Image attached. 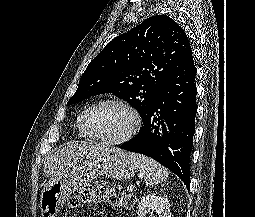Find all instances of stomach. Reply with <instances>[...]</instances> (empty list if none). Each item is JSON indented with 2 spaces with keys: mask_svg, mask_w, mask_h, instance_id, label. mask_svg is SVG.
<instances>
[{
  "mask_svg": "<svg viewBox=\"0 0 255 217\" xmlns=\"http://www.w3.org/2000/svg\"><path fill=\"white\" fill-rule=\"evenodd\" d=\"M136 167L127 152L108 148L96 158L77 162L51 176L41 191L42 217H56L67 198L99 175L117 180L130 179Z\"/></svg>",
  "mask_w": 255,
  "mask_h": 217,
  "instance_id": "obj_1",
  "label": "stomach"
}]
</instances>
